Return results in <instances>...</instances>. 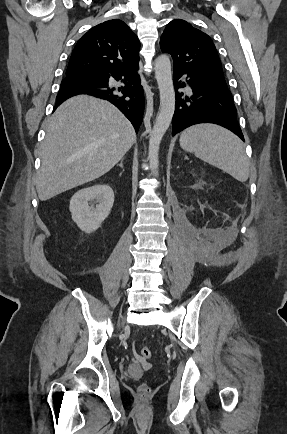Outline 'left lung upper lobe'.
I'll list each match as a JSON object with an SVG mask.
<instances>
[{"instance_id": "obj_1", "label": "left lung upper lobe", "mask_w": 287, "mask_h": 434, "mask_svg": "<svg viewBox=\"0 0 287 434\" xmlns=\"http://www.w3.org/2000/svg\"><path fill=\"white\" fill-rule=\"evenodd\" d=\"M162 52L173 58V67L201 74L227 87L221 62L211 38L184 20L167 24L160 40Z\"/></svg>"}]
</instances>
